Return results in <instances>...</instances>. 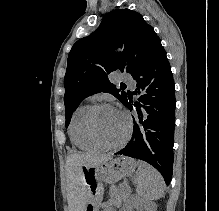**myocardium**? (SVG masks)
<instances>
[{
    "instance_id": "obj_1",
    "label": "myocardium",
    "mask_w": 219,
    "mask_h": 211,
    "mask_svg": "<svg viewBox=\"0 0 219 211\" xmlns=\"http://www.w3.org/2000/svg\"><path fill=\"white\" fill-rule=\"evenodd\" d=\"M105 107L112 108V109L116 110L117 112H119L122 115V117L126 121L125 133L121 137V139L116 143H108V142L103 141L97 135V133L94 129V116L99 109H102ZM131 128H132L131 118L126 113L117 109L112 104L107 103V102H101V103H97V104L92 105L89 108L87 115H86V119H85V129H86L88 137L90 138V140L93 143H95L96 145H98L99 147L104 148V149H115V148H118V147L124 145L130 136Z\"/></svg>"
}]
</instances>
